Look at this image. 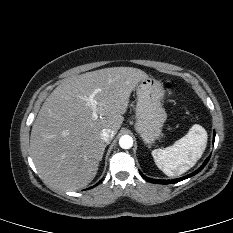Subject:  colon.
<instances>
[{"label": "colon", "instance_id": "1", "mask_svg": "<svg viewBox=\"0 0 233 233\" xmlns=\"http://www.w3.org/2000/svg\"><path fill=\"white\" fill-rule=\"evenodd\" d=\"M167 91L169 92V94H171L173 92V84L171 82H168L166 85Z\"/></svg>", "mask_w": 233, "mask_h": 233}]
</instances>
